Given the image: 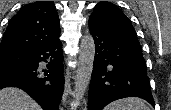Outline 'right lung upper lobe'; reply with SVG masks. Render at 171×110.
<instances>
[{"label": "right lung upper lobe", "mask_w": 171, "mask_h": 110, "mask_svg": "<svg viewBox=\"0 0 171 110\" xmlns=\"http://www.w3.org/2000/svg\"><path fill=\"white\" fill-rule=\"evenodd\" d=\"M59 34V17L52 1L26 4L10 20L0 44V53H30L55 41Z\"/></svg>", "instance_id": "1"}]
</instances>
